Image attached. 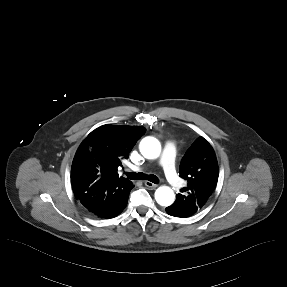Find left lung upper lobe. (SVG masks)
<instances>
[{"mask_svg":"<svg viewBox=\"0 0 287 287\" xmlns=\"http://www.w3.org/2000/svg\"><path fill=\"white\" fill-rule=\"evenodd\" d=\"M218 163L211 145L203 138H197L184 155L179 176L187 186L177 194L176 201L182 208L197 212L207 202L218 181Z\"/></svg>","mask_w":287,"mask_h":287,"instance_id":"5c2ea615","label":"left lung upper lobe"}]
</instances>
